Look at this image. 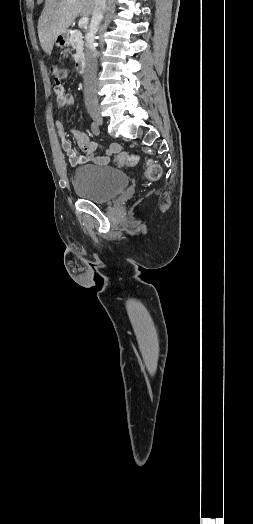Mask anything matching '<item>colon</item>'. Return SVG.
Returning a JSON list of instances; mask_svg holds the SVG:
<instances>
[{
	"instance_id": "1",
	"label": "colon",
	"mask_w": 253,
	"mask_h": 524,
	"mask_svg": "<svg viewBox=\"0 0 253 524\" xmlns=\"http://www.w3.org/2000/svg\"><path fill=\"white\" fill-rule=\"evenodd\" d=\"M66 60L68 62H71L73 60V57L71 55H68L66 57ZM49 71L54 79L56 89H61L64 81L70 75V70L66 67L55 64L50 66ZM115 162L119 167H132L137 165V163L139 162V155L130 152H119L115 157ZM161 175V167L157 163L149 161L147 163L146 168L147 179L150 181H156L161 177Z\"/></svg>"
}]
</instances>
